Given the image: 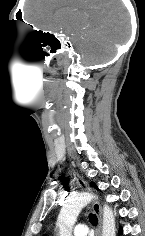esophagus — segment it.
I'll return each mask as SVG.
<instances>
[{
	"label": "esophagus",
	"mask_w": 145,
	"mask_h": 236,
	"mask_svg": "<svg viewBox=\"0 0 145 236\" xmlns=\"http://www.w3.org/2000/svg\"><path fill=\"white\" fill-rule=\"evenodd\" d=\"M73 176H74V179L77 181L79 187H81L83 190H87V191L90 190L87 183L75 171L73 172ZM92 208L98 217V236H100L101 229H102V209H101L100 204L97 201L92 202Z\"/></svg>",
	"instance_id": "obj_1"
}]
</instances>
